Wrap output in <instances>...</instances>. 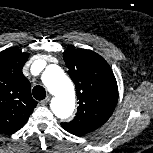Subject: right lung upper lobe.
Here are the masks:
<instances>
[{
	"instance_id": "obj_1",
	"label": "right lung upper lobe",
	"mask_w": 153,
	"mask_h": 153,
	"mask_svg": "<svg viewBox=\"0 0 153 153\" xmlns=\"http://www.w3.org/2000/svg\"><path fill=\"white\" fill-rule=\"evenodd\" d=\"M29 57L17 48L0 52V132L14 133L24 126L37 102L31 85L22 73Z\"/></svg>"
}]
</instances>
